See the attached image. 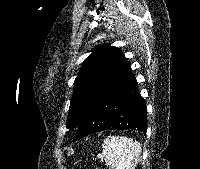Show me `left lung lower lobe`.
<instances>
[{
  "mask_svg": "<svg viewBox=\"0 0 200 169\" xmlns=\"http://www.w3.org/2000/svg\"><path fill=\"white\" fill-rule=\"evenodd\" d=\"M116 129L146 134V103L139 94L134 76L93 105L77 127L73 141L95 132Z\"/></svg>",
  "mask_w": 200,
  "mask_h": 169,
  "instance_id": "obj_1",
  "label": "left lung lower lobe"
}]
</instances>
